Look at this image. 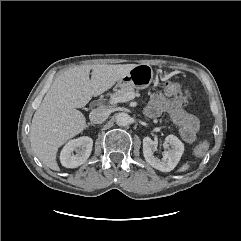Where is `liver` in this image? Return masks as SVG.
<instances>
[{
  "instance_id": "6515ba94",
  "label": "liver",
  "mask_w": 241,
  "mask_h": 241,
  "mask_svg": "<svg viewBox=\"0 0 241 241\" xmlns=\"http://www.w3.org/2000/svg\"><path fill=\"white\" fill-rule=\"evenodd\" d=\"M135 66L80 65L55 78L35 111L30 130L31 148L45 166L59 171L58 148L86 127L85 116L77 108L84 107L92 96L109 90Z\"/></svg>"
}]
</instances>
